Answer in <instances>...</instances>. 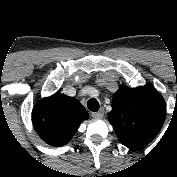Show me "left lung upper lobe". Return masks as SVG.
Masks as SVG:
<instances>
[{
	"instance_id": "left-lung-upper-lobe-1",
	"label": "left lung upper lobe",
	"mask_w": 177,
	"mask_h": 177,
	"mask_svg": "<svg viewBox=\"0 0 177 177\" xmlns=\"http://www.w3.org/2000/svg\"><path fill=\"white\" fill-rule=\"evenodd\" d=\"M112 107L109 120L121 142L127 146L147 144L161 125L159 115L162 110L156 101L121 92L114 97Z\"/></svg>"
}]
</instances>
